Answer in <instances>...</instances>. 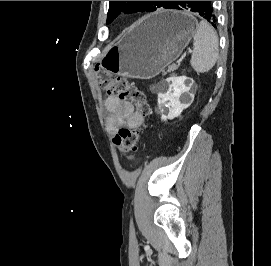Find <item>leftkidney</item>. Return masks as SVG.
<instances>
[{
    "label": "left kidney",
    "instance_id": "5707ae66",
    "mask_svg": "<svg viewBox=\"0 0 271 266\" xmlns=\"http://www.w3.org/2000/svg\"><path fill=\"white\" fill-rule=\"evenodd\" d=\"M186 81L187 78L185 77H171L168 79L169 89L166 93L158 95L159 108L165 106L168 109L167 115L163 114V109H161V120H172L190 106V103L182 102L180 99L182 96L191 95V83H187Z\"/></svg>",
    "mask_w": 271,
    "mask_h": 266
}]
</instances>
